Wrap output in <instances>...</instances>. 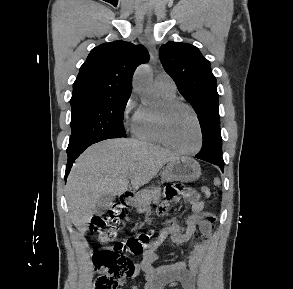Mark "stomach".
Returning <instances> with one entry per match:
<instances>
[{
	"instance_id": "0dacf381",
	"label": "stomach",
	"mask_w": 293,
	"mask_h": 289,
	"mask_svg": "<svg viewBox=\"0 0 293 289\" xmlns=\"http://www.w3.org/2000/svg\"><path fill=\"white\" fill-rule=\"evenodd\" d=\"M161 176L167 182H193L201 176V167L194 159L180 157L168 162Z\"/></svg>"
}]
</instances>
